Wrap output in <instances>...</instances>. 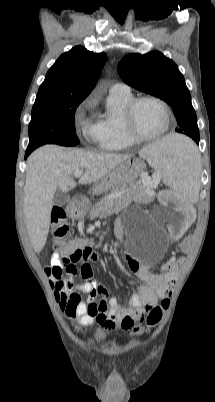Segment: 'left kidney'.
Instances as JSON below:
<instances>
[{
	"label": "left kidney",
	"mask_w": 215,
	"mask_h": 402,
	"mask_svg": "<svg viewBox=\"0 0 215 402\" xmlns=\"http://www.w3.org/2000/svg\"><path fill=\"white\" fill-rule=\"evenodd\" d=\"M164 205H168V215L174 220H166L165 228L170 229V234L175 240H182L187 233V226L194 220V210L190 204L182 198V193L164 189L161 192Z\"/></svg>",
	"instance_id": "5707ae66"
}]
</instances>
